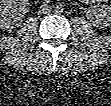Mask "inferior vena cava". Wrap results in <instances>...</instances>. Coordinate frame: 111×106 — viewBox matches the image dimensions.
<instances>
[{
  "label": "inferior vena cava",
  "instance_id": "obj_1",
  "mask_svg": "<svg viewBox=\"0 0 111 106\" xmlns=\"http://www.w3.org/2000/svg\"><path fill=\"white\" fill-rule=\"evenodd\" d=\"M52 10L51 6L44 3L42 4L40 7H39V13L41 14H47V13H50Z\"/></svg>",
  "mask_w": 111,
  "mask_h": 106
}]
</instances>
